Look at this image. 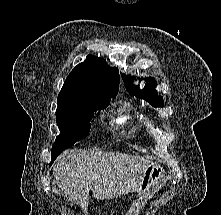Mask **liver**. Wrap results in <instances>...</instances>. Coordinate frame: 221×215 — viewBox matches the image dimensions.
<instances>
[{
  "instance_id": "liver-1",
  "label": "liver",
  "mask_w": 221,
  "mask_h": 215,
  "mask_svg": "<svg viewBox=\"0 0 221 215\" xmlns=\"http://www.w3.org/2000/svg\"><path fill=\"white\" fill-rule=\"evenodd\" d=\"M148 164V160L120 152L72 149L54 163V182L63 195L86 211L90 190L98 200L137 191Z\"/></svg>"
}]
</instances>
